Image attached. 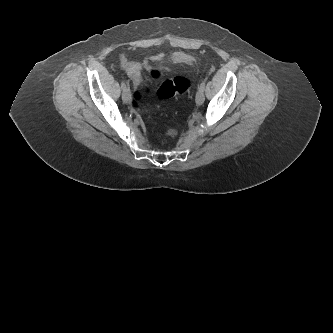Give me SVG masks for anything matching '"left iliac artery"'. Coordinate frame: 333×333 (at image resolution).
<instances>
[{
    "label": "left iliac artery",
    "mask_w": 333,
    "mask_h": 333,
    "mask_svg": "<svg viewBox=\"0 0 333 333\" xmlns=\"http://www.w3.org/2000/svg\"><path fill=\"white\" fill-rule=\"evenodd\" d=\"M199 89L204 91V89H205V82L204 81L199 85Z\"/></svg>",
    "instance_id": "obj_1"
}]
</instances>
